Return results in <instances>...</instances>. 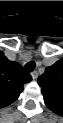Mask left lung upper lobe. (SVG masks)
<instances>
[{
  "instance_id": "5c2ea615",
  "label": "left lung upper lobe",
  "mask_w": 63,
  "mask_h": 123,
  "mask_svg": "<svg viewBox=\"0 0 63 123\" xmlns=\"http://www.w3.org/2000/svg\"><path fill=\"white\" fill-rule=\"evenodd\" d=\"M46 105L53 112H60L63 103V68L58 62L46 68L38 78Z\"/></svg>"
}]
</instances>
